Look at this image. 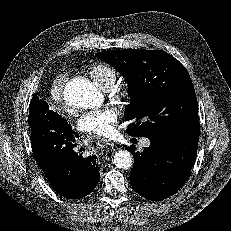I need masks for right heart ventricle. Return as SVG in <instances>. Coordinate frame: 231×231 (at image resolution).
<instances>
[{
	"label": "right heart ventricle",
	"mask_w": 231,
	"mask_h": 231,
	"mask_svg": "<svg viewBox=\"0 0 231 231\" xmlns=\"http://www.w3.org/2000/svg\"><path fill=\"white\" fill-rule=\"evenodd\" d=\"M88 74L93 82L102 89L110 88L117 79V71L105 63H97L89 68Z\"/></svg>",
	"instance_id": "obj_1"
}]
</instances>
